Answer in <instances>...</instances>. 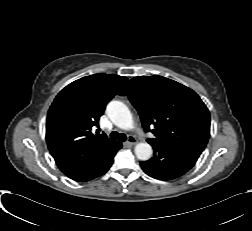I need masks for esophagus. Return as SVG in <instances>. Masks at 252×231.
Instances as JSON below:
<instances>
[{
	"label": "esophagus",
	"instance_id": "1",
	"mask_svg": "<svg viewBox=\"0 0 252 231\" xmlns=\"http://www.w3.org/2000/svg\"><path fill=\"white\" fill-rule=\"evenodd\" d=\"M126 145L132 146L136 144V138L134 136H128L127 141L125 142Z\"/></svg>",
	"mask_w": 252,
	"mask_h": 231
}]
</instances>
